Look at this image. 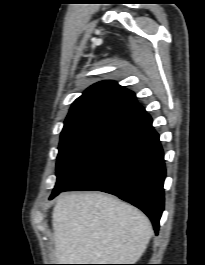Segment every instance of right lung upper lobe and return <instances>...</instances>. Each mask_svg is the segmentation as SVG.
<instances>
[{
	"mask_svg": "<svg viewBox=\"0 0 205 265\" xmlns=\"http://www.w3.org/2000/svg\"><path fill=\"white\" fill-rule=\"evenodd\" d=\"M145 113L132 91L105 80L90 86L73 102L61 134L99 124L128 126Z\"/></svg>",
	"mask_w": 205,
	"mask_h": 265,
	"instance_id": "obj_1",
	"label": "right lung upper lobe"
}]
</instances>
